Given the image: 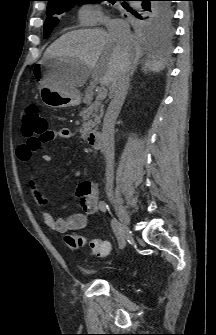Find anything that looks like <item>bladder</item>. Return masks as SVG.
<instances>
[{
  "label": "bladder",
  "mask_w": 216,
  "mask_h": 335,
  "mask_svg": "<svg viewBox=\"0 0 216 335\" xmlns=\"http://www.w3.org/2000/svg\"><path fill=\"white\" fill-rule=\"evenodd\" d=\"M82 271L85 272V273H93L94 272V270L90 269V268H82Z\"/></svg>",
  "instance_id": "1"
}]
</instances>
